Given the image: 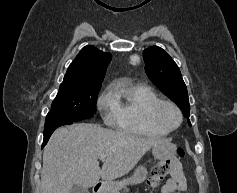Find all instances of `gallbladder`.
<instances>
[{"mask_svg":"<svg viewBox=\"0 0 237 193\" xmlns=\"http://www.w3.org/2000/svg\"><path fill=\"white\" fill-rule=\"evenodd\" d=\"M70 193H89L87 188L82 187L81 185H74L70 191Z\"/></svg>","mask_w":237,"mask_h":193,"instance_id":"1","label":"gallbladder"}]
</instances>
